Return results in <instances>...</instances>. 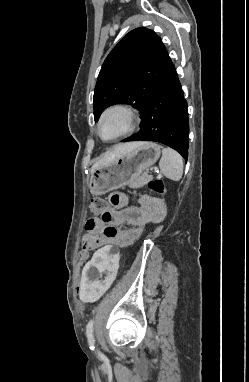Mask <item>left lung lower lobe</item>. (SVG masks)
<instances>
[{
  "label": "left lung lower lobe",
  "instance_id": "1",
  "mask_svg": "<svg viewBox=\"0 0 249 382\" xmlns=\"http://www.w3.org/2000/svg\"><path fill=\"white\" fill-rule=\"evenodd\" d=\"M141 118L140 131L124 139V142L138 140L160 142L175 149L187 160L189 147L187 102L173 65L161 81Z\"/></svg>",
  "mask_w": 249,
  "mask_h": 382
}]
</instances>
